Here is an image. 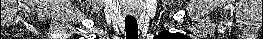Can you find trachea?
<instances>
[{
	"mask_svg": "<svg viewBox=\"0 0 263 39\" xmlns=\"http://www.w3.org/2000/svg\"><path fill=\"white\" fill-rule=\"evenodd\" d=\"M126 39L138 38V24L135 18H125Z\"/></svg>",
	"mask_w": 263,
	"mask_h": 39,
	"instance_id": "obj_1",
	"label": "trachea"
}]
</instances>
